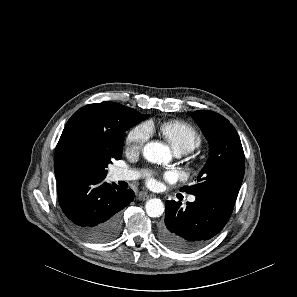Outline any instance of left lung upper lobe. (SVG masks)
Returning <instances> with one entry per match:
<instances>
[{"mask_svg":"<svg viewBox=\"0 0 297 297\" xmlns=\"http://www.w3.org/2000/svg\"><path fill=\"white\" fill-rule=\"evenodd\" d=\"M192 117L209 140L208 160L196 183L181 191L199 195L211 191L239 192L244 176V152L234 126L212 111H195Z\"/></svg>","mask_w":297,"mask_h":297,"instance_id":"left-lung-upper-lobe-1","label":"left lung upper lobe"}]
</instances>
